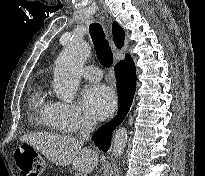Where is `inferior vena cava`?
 <instances>
[{
  "label": "inferior vena cava",
  "instance_id": "602c4592",
  "mask_svg": "<svg viewBox=\"0 0 205 176\" xmlns=\"http://www.w3.org/2000/svg\"><path fill=\"white\" fill-rule=\"evenodd\" d=\"M94 127H95V121L86 117L83 118L81 128H80V136H79V141L81 143H84L85 141L91 139L90 133L92 132Z\"/></svg>",
  "mask_w": 205,
  "mask_h": 176
}]
</instances>
